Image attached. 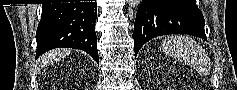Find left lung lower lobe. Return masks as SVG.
<instances>
[{
	"label": "left lung lower lobe",
	"mask_w": 237,
	"mask_h": 90,
	"mask_svg": "<svg viewBox=\"0 0 237 90\" xmlns=\"http://www.w3.org/2000/svg\"><path fill=\"white\" fill-rule=\"evenodd\" d=\"M204 17L195 0H143L134 23V51L150 39L167 34H189L207 40Z\"/></svg>",
	"instance_id": "left-lung-lower-lobe-1"
}]
</instances>
